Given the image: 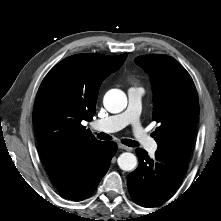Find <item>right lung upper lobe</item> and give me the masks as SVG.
<instances>
[{"instance_id":"1","label":"right lung upper lobe","mask_w":221,"mask_h":221,"mask_svg":"<svg viewBox=\"0 0 221 221\" xmlns=\"http://www.w3.org/2000/svg\"><path fill=\"white\" fill-rule=\"evenodd\" d=\"M127 54L70 56L42 81L34 104L33 125L45 165L99 144L81 122L91 121L101 81L115 72Z\"/></svg>"}]
</instances>
